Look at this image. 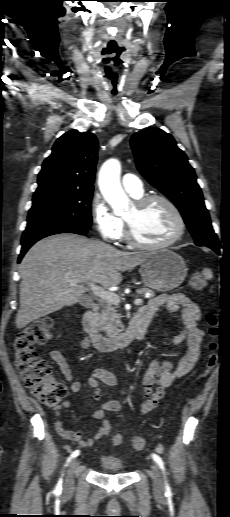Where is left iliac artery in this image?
I'll return each mask as SVG.
<instances>
[{
	"label": "left iliac artery",
	"mask_w": 230,
	"mask_h": 517,
	"mask_svg": "<svg viewBox=\"0 0 230 517\" xmlns=\"http://www.w3.org/2000/svg\"><path fill=\"white\" fill-rule=\"evenodd\" d=\"M151 456H152L154 461L158 464V466L160 467V469L163 472V475H164V478H165L166 494L170 495L171 494V488H170V486H169V484H168V482L166 480V472H165L164 462H163L162 458L159 455H157V454H152Z\"/></svg>",
	"instance_id": "obj_1"
}]
</instances>
